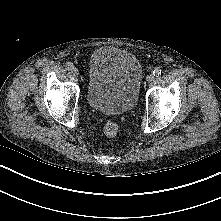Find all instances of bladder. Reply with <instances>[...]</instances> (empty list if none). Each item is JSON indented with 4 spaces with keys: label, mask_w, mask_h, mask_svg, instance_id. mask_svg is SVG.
<instances>
[{
    "label": "bladder",
    "mask_w": 221,
    "mask_h": 221,
    "mask_svg": "<svg viewBox=\"0 0 221 221\" xmlns=\"http://www.w3.org/2000/svg\"><path fill=\"white\" fill-rule=\"evenodd\" d=\"M143 68L129 51L105 46L89 60L86 100L95 111L106 115L130 112L137 104Z\"/></svg>",
    "instance_id": "31cf9c89"
}]
</instances>
